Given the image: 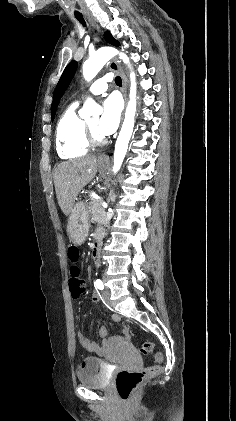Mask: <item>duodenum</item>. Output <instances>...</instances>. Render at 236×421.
Masks as SVG:
<instances>
[{"label":"duodenum","mask_w":236,"mask_h":421,"mask_svg":"<svg viewBox=\"0 0 236 421\" xmlns=\"http://www.w3.org/2000/svg\"><path fill=\"white\" fill-rule=\"evenodd\" d=\"M104 237H105V231L102 228H98L95 232V243L93 246V255L95 258H97L99 255V250H100L101 243ZM124 334H125L124 338L127 339L128 337L127 330H125ZM81 341H82V344L90 351L98 352L99 354H102L104 352L103 347H99L98 345L92 344L89 341H87V339L85 338H82Z\"/></svg>","instance_id":"duodenum-1"}]
</instances>
